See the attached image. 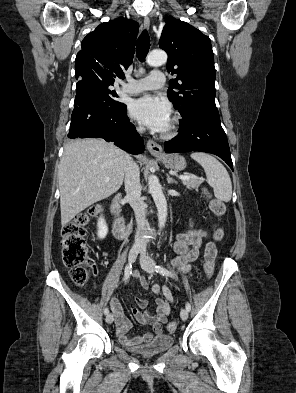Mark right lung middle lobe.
<instances>
[{"label":"right lung middle lobe","instance_id":"dd1d6c3e","mask_svg":"<svg viewBox=\"0 0 296 393\" xmlns=\"http://www.w3.org/2000/svg\"><path fill=\"white\" fill-rule=\"evenodd\" d=\"M79 80H83L88 83L110 106L114 108H121L124 105L117 101L116 98L118 95L116 92L109 89V86H111L112 83L90 76Z\"/></svg>","mask_w":296,"mask_h":393}]
</instances>
